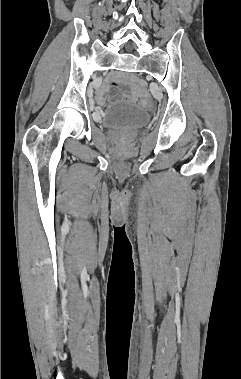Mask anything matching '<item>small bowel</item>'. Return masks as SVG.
Listing matches in <instances>:
<instances>
[{
  "label": "small bowel",
  "mask_w": 241,
  "mask_h": 379,
  "mask_svg": "<svg viewBox=\"0 0 241 379\" xmlns=\"http://www.w3.org/2000/svg\"><path fill=\"white\" fill-rule=\"evenodd\" d=\"M115 85H117L116 81L108 80L99 90H97L96 98L100 105H104L106 103V93L111 87ZM123 99L130 103H135L137 101V97L135 95L129 94H124Z\"/></svg>",
  "instance_id": "small-bowel-1"
}]
</instances>
